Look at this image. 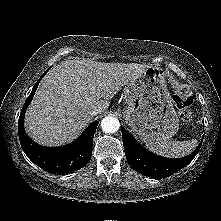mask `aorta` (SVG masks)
<instances>
[{"label":"aorta","mask_w":221,"mask_h":221,"mask_svg":"<svg viewBox=\"0 0 221 221\" xmlns=\"http://www.w3.org/2000/svg\"><path fill=\"white\" fill-rule=\"evenodd\" d=\"M119 127L120 122L116 117L106 116L101 121V128L105 133H114Z\"/></svg>","instance_id":"obj_1"}]
</instances>
